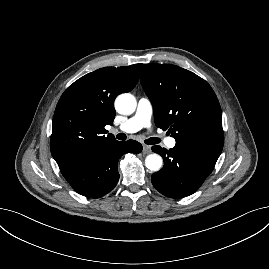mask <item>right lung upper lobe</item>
Masks as SVG:
<instances>
[{"mask_svg":"<svg viewBox=\"0 0 269 269\" xmlns=\"http://www.w3.org/2000/svg\"><path fill=\"white\" fill-rule=\"evenodd\" d=\"M141 66L101 68L65 90L55 109L50 143L59 168L116 141L112 134L105 135V126L114 120L116 96L135 87Z\"/></svg>","mask_w":269,"mask_h":269,"instance_id":"obj_1","label":"right lung upper lobe"}]
</instances>
